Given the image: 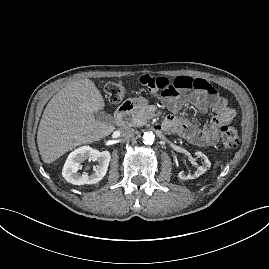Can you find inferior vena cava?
<instances>
[{"label": "inferior vena cava", "instance_id": "obj_1", "mask_svg": "<svg viewBox=\"0 0 269 269\" xmlns=\"http://www.w3.org/2000/svg\"><path fill=\"white\" fill-rule=\"evenodd\" d=\"M134 132H135V130L131 127H128V126L123 127L120 130L121 135L124 137H130L134 134Z\"/></svg>", "mask_w": 269, "mask_h": 269}]
</instances>
